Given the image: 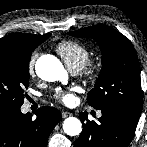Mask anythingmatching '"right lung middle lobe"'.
<instances>
[{
	"label": "right lung middle lobe",
	"mask_w": 147,
	"mask_h": 147,
	"mask_svg": "<svg viewBox=\"0 0 147 147\" xmlns=\"http://www.w3.org/2000/svg\"><path fill=\"white\" fill-rule=\"evenodd\" d=\"M36 47H0V110L17 109L24 103V90L29 85V60Z\"/></svg>",
	"instance_id": "dd1d6c3e"
}]
</instances>
